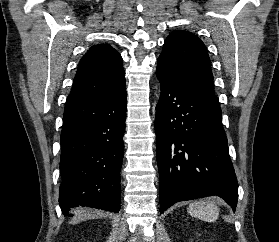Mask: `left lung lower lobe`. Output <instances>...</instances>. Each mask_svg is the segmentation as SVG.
<instances>
[{
	"label": "left lung lower lobe",
	"instance_id": "obj_1",
	"mask_svg": "<svg viewBox=\"0 0 279 242\" xmlns=\"http://www.w3.org/2000/svg\"><path fill=\"white\" fill-rule=\"evenodd\" d=\"M156 106L160 212L179 201L218 195L237 205L238 183L228 153L221 108L158 58Z\"/></svg>",
	"mask_w": 279,
	"mask_h": 242
}]
</instances>
